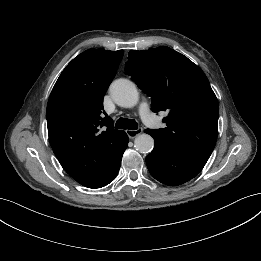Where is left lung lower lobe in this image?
Returning <instances> with one entry per match:
<instances>
[{
  "label": "left lung lower lobe",
  "instance_id": "left-lung-lower-lobe-1",
  "mask_svg": "<svg viewBox=\"0 0 261 261\" xmlns=\"http://www.w3.org/2000/svg\"><path fill=\"white\" fill-rule=\"evenodd\" d=\"M209 157L208 154L178 152L155 141L153 151L145 160L149 172L156 180L176 186L194 178L203 169Z\"/></svg>",
  "mask_w": 261,
  "mask_h": 261
}]
</instances>
